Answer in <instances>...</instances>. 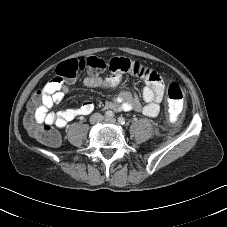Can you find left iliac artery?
Instances as JSON below:
<instances>
[{
	"label": "left iliac artery",
	"mask_w": 227,
	"mask_h": 227,
	"mask_svg": "<svg viewBox=\"0 0 227 227\" xmlns=\"http://www.w3.org/2000/svg\"><path fill=\"white\" fill-rule=\"evenodd\" d=\"M118 122L123 125L126 123V119L124 117H119Z\"/></svg>",
	"instance_id": "left-iliac-artery-1"
}]
</instances>
